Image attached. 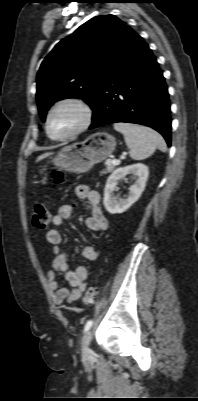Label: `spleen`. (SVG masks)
<instances>
[{
    "label": "spleen",
    "instance_id": "obj_1",
    "mask_svg": "<svg viewBox=\"0 0 198 401\" xmlns=\"http://www.w3.org/2000/svg\"><path fill=\"white\" fill-rule=\"evenodd\" d=\"M114 129L124 135L129 153L134 160H143L150 157L156 149L162 152L167 150L164 138L148 127L130 124L115 123Z\"/></svg>",
    "mask_w": 198,
    "mask_h": 401
}]
</instances>
